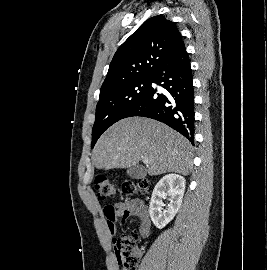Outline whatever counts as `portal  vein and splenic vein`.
Here are the masks:
<instances>
[{
    "instance_id": "1",
    "label": "portal vein and splenic vein",
    "mask_w": 267,
    "mask_h": 270,
    "mask_svg": "<svg viewBox=\"0 0 267 270\" xmlns=\"http://www.w3.org/2000/svg\"><path fill=\"white\" fill-rule=\"evenodd\" d=\"M142 161H143L145 164H147V163H148V160H147V159H145L144 157H142Z\"/></svg>"
}]
</instances>
